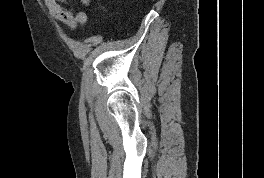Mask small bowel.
Here are the masks:
<instances>
[{"label":"small bowel","mask_w":264,"mask_h":178,"mask_svg":"<svg viewBox=\"0 0 264 178\" xmlns=\"http://www.w3.org/2000/svg\"><path fill=\"white\" fill-rule=\"evenodd\" d=\"M50 14L71 29L87 22V14L83 11L73 12L67 8L68 0H43Z\"/></svg>","instance_id":"small-bowel-1"}]
</instances>
